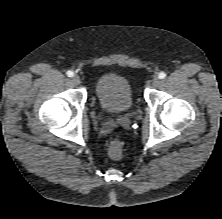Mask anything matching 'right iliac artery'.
I'll list each match as a JSON object with an SVG mask.
<instances>
[{
  "label": "right iliac artery",
  "instance_id": "82829eb1",
  "mask_svg": "<svg viewBox=\"0 0 222 219\" xmlns=\"http://www.w3.org/2000/svg\"><path fill=\"white\" fill-rule=\"evenodd\" d=\"M66 74H67L68 77H73V75H74V73L72 71H67Z\"/></svg>",
  "mask_w": 222,
  "mask_h": 219
}]
</instances>
